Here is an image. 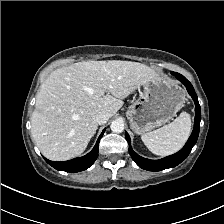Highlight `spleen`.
Returning a JSON list of instances; mask_svg holds the SVG:
<instances>
[{"label":"spleen","mask_w":224,"mask_h":224,"mask_svg":"<svg viewBox=\"0 0 224 224\" xmlns=\"http://www.w3.org/2000/svg\"><path fill=\"white\" fill-rule=\"evenodd\" d=\"M191 133L190 115L182 112L173 122L143 134L141 139L154 154L167 156L180 150Z\"/></svg>","instance_id":"1"}]
</instances>
